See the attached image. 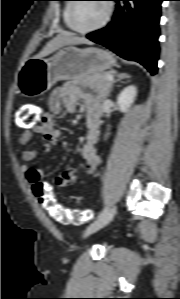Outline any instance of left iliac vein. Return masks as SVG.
<instances>
[{"label":"left iliac vein","mask_w":180,"mask_h":299,"mask_svg":"<svg viewBox=\"0 0 180 299\" xmlns=\"http://www.w3.org/2000/svg\"><path fill=\"white\" fill-rule=\"evenodd\" d=\"M116 213V207L113 206L110 208L104 215L99 217L97 220H95L85 231V235L88 236L101 228L105 227L107 224H109L112 219L114 218Z\"/></svg>","instance_id":"4c4485c4"}]
</instances>
